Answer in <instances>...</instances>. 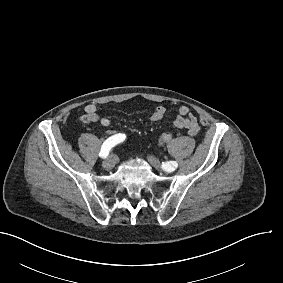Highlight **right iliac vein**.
<instances>
[{
    "label": "right iliac vein",
    "mask_w": 283,
    "mask_h": 283,
    "mask_svg": "<svg viewBox=\"0 0 283 283\" xmlns=\"http://www.w3.org/2000/svg\"><path fill=\"white\" fill-rule=\"evenodd\" d=\"M116 164V157L115 155H111L107 160L103 162V167L107 170L112 169Z\"/></svg>",
    "instance_id": "right-iliac-vein-1"
}]
</instances>
